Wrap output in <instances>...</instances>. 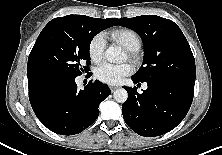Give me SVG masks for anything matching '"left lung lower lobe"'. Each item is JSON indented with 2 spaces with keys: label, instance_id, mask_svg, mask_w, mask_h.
I'll return each mask as SVG.
<instances>
[{
  "label": "left lung lower lobe",
  "instance_id": "left-lung-lower-lobe-1",
  "mask_svg": "<svg viewBox=\"0 0 222 155\" xmlns=\"http://www.w3.org/2000/svg\"><path fill=\"white\" fill-rule=\"evenodd\" d=\"M134 83L137 79L132 77ZM147 90L123 86L128 99L122 104L126 124L145 137L163 135L186 116L193 100L194 87L172 80L147 81Z\"/></svg>",
  "mask_w": 222,
  "mask_h": 155
}]
</instances>
